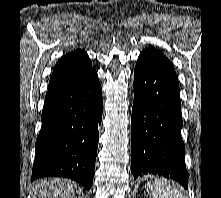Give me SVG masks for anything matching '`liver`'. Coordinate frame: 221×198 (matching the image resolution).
I'll return each instance as SVG.
<instances>
[{
    "label": "liver",
    "mask_w": 221,
    "mask_h": 198,
    "mask_svg": "<svg viewBox=\"0 0 221 198\" xmlns=\"http://www.w3.org/2000/svg\"><path fill=\"white\" fill-rule=\"evenodd\" d=\"M74 188L65 178L41 179L35 183L33 198H75Z\"/></svg>",
    "instance_id": "obj_1"
}]
</instances>
